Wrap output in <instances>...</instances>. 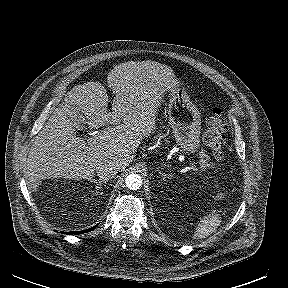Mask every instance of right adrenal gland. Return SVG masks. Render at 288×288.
Here are the masks:
<instances>
[{"instance_id": "1", "label": "right adrenal gland", "mask_w": 288, "mask_h": 288, "mask_svg": "<svg viewBox=\"0 0 288 288\" xmlns=\"http://www.w3.org/2000/svg\"><path fill=\"white\" fill-rule=\"evenodd\" d=\"M91 182L92 183H94V184H96V186H95V188H96V190H99L100 188H101V185L103 184V183H106V180H102V179H91ZM98 193V192H97Z\"/></svg>"}]
</instances>
